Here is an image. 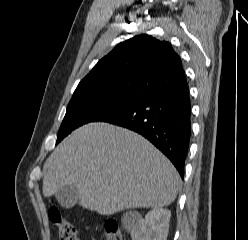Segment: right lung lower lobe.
<instances>
[{"label": "right lung lower lobe", "mask_w": 248, "mask_h": 240, "mask_svg": "<svg viewBox=\"0 0 248 240\" xmlns=\"http://www.w3.org/2000/svg\"><path fill=\"white\" fill-rule=\"evenodd\" d=\"M131 129L152 142L184 176L191 136V103L187 81L138 99L100 120Z\"/></svg>", "instance_id": "right-lung-lower-lobe-1"}]
</instances>
